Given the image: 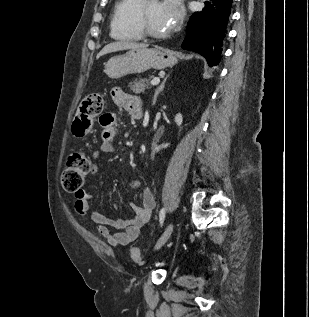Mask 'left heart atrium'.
Masks as SVG:
<instances>
[{"label":"left heart atrium","instance_id":"obj_1","mask_svg":"<svg viewBox=\"0 0 309 317\" xmlns=\"http://www.w3.org/2000/svg\"><path fill=\"white\" fill-rule=\"evenodd\" d=\"M161 6L170 28H174L182 20L184 15L181 0H164Z\"/></svg>","mask_w":309,"mask_h":317}]
</instances>
